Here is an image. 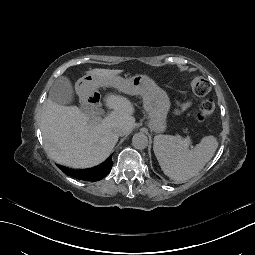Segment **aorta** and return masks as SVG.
I'll use <instances>...</instances> for the list:
<instances>
[{"mask_svg": "<svg viewBox=\"0 0 255 255\" xmlns=\"http://www.w3.org/2000/svg\"><path fill=\"white\" fill-rule=\"evenodd\" d=\"M132 144L136 149H145L148 146V137L144 133H136L132 138Z\"/></svg>", "mask_w": 255, "mask_h": 255, "instance_id": "1", "label": "aorta"}]
</instances>
